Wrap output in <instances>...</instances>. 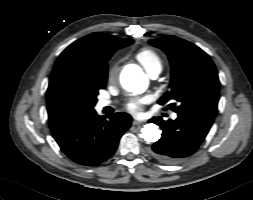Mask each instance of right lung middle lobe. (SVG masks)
I'll return each instance as SVG.
<instances>
[{
	"label": "right lung middle lobe",
	"instance_id": "right-lung-middle-lobe-1",
	"mask_svg": "<svg viewBox=\"0 0 253 200\" xmlns=\"http://www.w3.org/2000/svg\"><path fill=\"white\" fill-rule=\"evenodd\" d=\"M106 77L72 71L64 75L62 97L65 103L76 113L93 111L100 89L106 86Z\"/></svg>",
	"mask_w": 253,
	"mask_h": 200
}]
</instances>
